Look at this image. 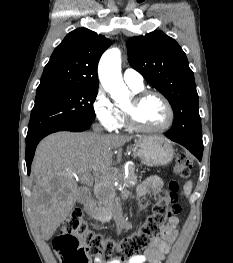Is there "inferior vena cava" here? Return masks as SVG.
I'll list each match as a JSON object with an SVG mask.
<instances>
[{
	"mask_svg": "<svg viewBox=\"0 0 233 263\" xmlns=\"http://www.w3.org/2000/svg\"><path fill=\"white\" fill-rule=\"evenodd\" d=\"M101 184V181H97V185H100Z\"/></svg>",
	"mask_w": 233,
	"mask_h": 263,
	"instance_id": "602c4592",
	"label": "inferior vena cava"
}]
</instances>
